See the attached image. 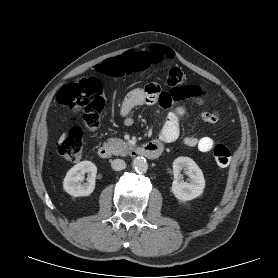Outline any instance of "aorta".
<instances>
[{"instance_id":"aorta-1","label":"aorta","mask_w":278,"mask_h":278,"mask_svg":"<svg viewBox=\"0 0 278 278\" xmlns=\"http://www.w3.org/2000/svg\"><path fill=\"white\" fill-rule=\"evenodd\" d=\"M133 168L137 173L143 174L148 170V163L144 157H135L133 160Z\"/></svg>"}]
</instances>
